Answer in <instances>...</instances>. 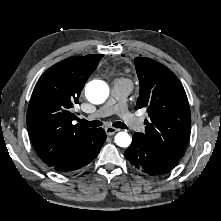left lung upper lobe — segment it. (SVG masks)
<instances>
[{"mask_svg": "<svg viewBox=\"0 0 221 221\" xmlns=\"http://www.w3.org/2000/svg\"><path fill=\"white\" fill-rule=\"evenodd\" d=\"M140 94L136 107L145 108V133L141 137L180 159L189 141L191 116L184 88L166 66L146 57L135 58Z\"/></svg>", "mask_w": 221, "mask_h": 221, "instance_id": "left-lung-upper-lobe-1", "label": "left lung upper lobe"}]
</instances>
